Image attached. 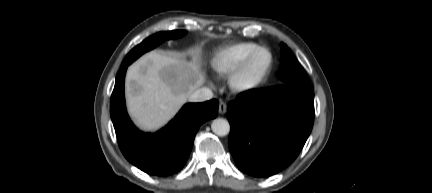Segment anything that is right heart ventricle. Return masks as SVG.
I'll return each instance as SVG.
<instances>
[{"label": "right heart ventricle", "mask_w": 432, "mask_h": 193, "mask_svg": "<svg viewBox=\"0 0 432 193\" xmlns=\"http://www.w3.org/2000/svg\"><path fill=\"white\" fill-rule=\"evenodd\" d=\"M259 45L255 42H239L216 50L210 59V67L219 76L233 72Z\"/></svg>", "instance_id": "obj_1"}]
</instances>
